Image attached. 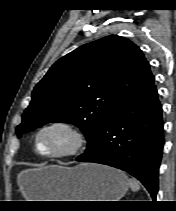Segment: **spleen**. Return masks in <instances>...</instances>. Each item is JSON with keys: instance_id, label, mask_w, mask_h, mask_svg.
Returning <instances> with one entry per match:
<instances>
[{"instance_id": "obj_1", "label": "spleen", "mask_w": 176, "mask_h": 211, "mask_svg": "<svg viewBox=\"0 0 176 211\" xmlns=\"http://www.w3.org/2000/svg\"><path fill=\"white\" fill-rule=\"evenodd\" d=\"M129 185H130V188L133 192H136L140 189V185H139V182L133 178H130L129 179Z\"/></svg>"}]
</instances>
